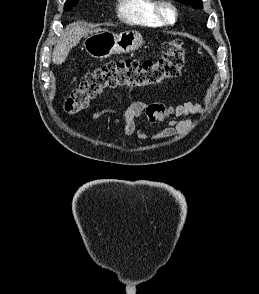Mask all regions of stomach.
<instances>
[{
    "label": "stomach",
    "mask_w": 259,
    "mask_h": 294,
    "mask_svg": "<svg viewBox=\"0 0 259 294\" xmlns=\"http://www.w3.org/2000/svg\"><path fill=\"white\" fill-rule=\"evenodd\" d=\"M143 44V37L137 31H124L119 35L98 30L86 36L84 47L94 58L104 59L114 54H124L134 51Z\"/></svg>",
    "instance_id": "0dacf381"
}]
</instances>
